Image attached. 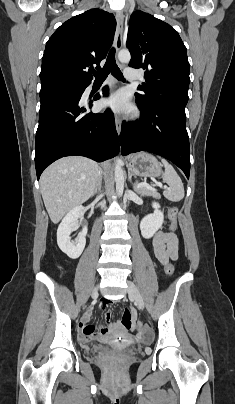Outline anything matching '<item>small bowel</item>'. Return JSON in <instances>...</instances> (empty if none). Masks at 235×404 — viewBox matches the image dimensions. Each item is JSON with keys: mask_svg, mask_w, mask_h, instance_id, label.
<instances>
[{"mask_svg": "<svg viewBox=\"0 0 235 404\" xmlns=\"http://www.w3.org/2000/svg\"><path fill=\"white\" fill-rule=\"evenodd\" d=\"M151 251L158 262L163 266H166L170 261H174L178 257V240L175 235L171 233L158 232L154 236ZM106 306V301L100 303L101 308H105ZM111 316L112 312L107 310L105 313L107 323L100 325L99 331L95 333L94 325L87 323L91 317V311H87L79 323L82 342H110L113 338L117 337L120 333L121 327L116 322H110Z\"/></svg>", "mask_w": 235, "mask_h": 404, "instance_id": "small-bowel-1", "label": "small bowel"}]
</instances>
